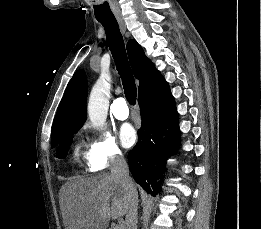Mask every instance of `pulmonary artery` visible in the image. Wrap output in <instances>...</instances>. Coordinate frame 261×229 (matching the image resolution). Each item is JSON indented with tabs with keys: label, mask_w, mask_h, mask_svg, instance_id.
Returning a JSON list of instances; mask_svg holds the SVG:
<instances>
[{
	"label": "pulmonary artery",
	"mask_w": 261,
	"mask_h": 229,
	"mask_svg": "<svg viewBox=\"0 0 261 229\" xmlns=\"http://www.w3.org/2000/svg\"><path fill=\"white\" fill-rule=\"evenodd\" d=\"M112 112L115 118L121 121L129 117V109L123 98H118L113 102Z\"/></svg>",
	"instance_id": "1"
}]
</instances>
